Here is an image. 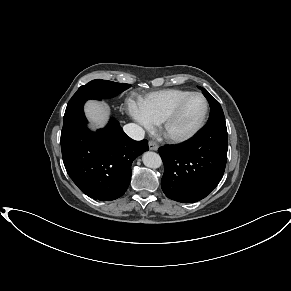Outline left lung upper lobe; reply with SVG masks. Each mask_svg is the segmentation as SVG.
Returning a JSON list of instances; mask_svg holds the SVG:
<instances>
[{"label":"left lung upper lobe","instance_id":"left-lung-upper-lobe-1","mask_svg":"<svg viewBox=\"0 0 291 291\" xmlns=\"http://www.w3.org/2000/svg\"><path fill=\"white\" fill-rule=\"evenodd\" d=\"M210 105V117L207 124L225 123V117L219 102L204 88L199 87Z\"/></svg>","mask_w":291,"mask_h":291}]
</instances>
